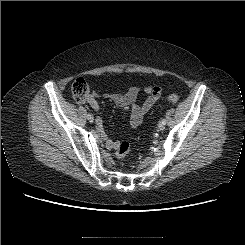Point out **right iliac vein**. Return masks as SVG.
I'll list each match as a JSON object with an SVG mask.
<instances>
[{
  "label": "right iliac vein",
  "mask_w": 245,
  "mask_h": 245,
  "mask_svg": "<svg viewBox=\"0 0 245 245\" xmlns=\"http://www.w3.org/2000/svg\"><path fill=\"white\" fill-rule=\"evenodd\" d=\"M88 118V120L90 121V122H93L94 121V118L91 116V117H87Z\"/></svg>",
  "instance_id": "63e3f726"
}]
</instances>
